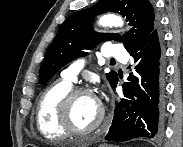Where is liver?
I'll list each match as a JSON object with an SVG mask.
<instances>
[{"label":"liver","mask_w":183,"mask_h":147,"mask_svg":"<svg viewBox=\"0 0 183 147\" xmlns=\"http://www.w3.org/2000/svg\"><path fill=\"white\" fill-rule=\"evenodd\" d=\"M67 144H74V145H77L78 143H76V142H73V143H67ZM64 145H66V144H64Z\"/></svg>","instance_id":"obj_1"}]
</instances>
